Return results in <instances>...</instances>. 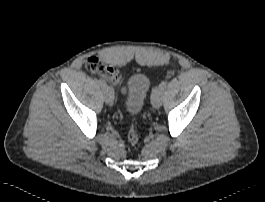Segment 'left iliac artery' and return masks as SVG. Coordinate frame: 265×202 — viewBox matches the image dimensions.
Returning <instances> with one entry per match:
<instances>
[{
    "mask_svg": "<svg viewBox=\"0 0 265 202\" xmlns=\"http://www.w3.org/2000/svg\"><path fill=\"white\" fill-rule=\"evenodd\" d=\"M166 86H167V81H162L158 87L153 89L152 97L159 91L163 92L165 90Z\"/></svg>",
    "mask_w": 265,
    "mask_h": 202,
    "instance_id": "44dca946",
    "label": "left iliac artery"
}]
</instances>
